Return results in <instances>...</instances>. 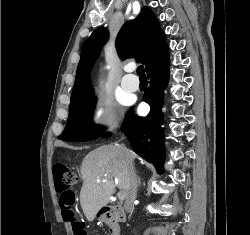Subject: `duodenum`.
<instances>
[{"instance_id": "duodenum-1", "label": "duodenum", "mask_w": 250, "mask_h": 235, "mask_svg": "<svg viewBox=\"0 0 250 235\" xmlns=\"http://www.w3.org/2000/svg\"><path fill=\"white\" fill-rule=\"evenodd\" d=\"M103 220L112 235H120V225L125 221L124 210L120 206H111L102 212Z\"/></svg>"}]
</instances>
